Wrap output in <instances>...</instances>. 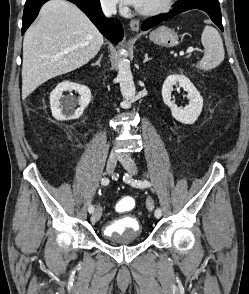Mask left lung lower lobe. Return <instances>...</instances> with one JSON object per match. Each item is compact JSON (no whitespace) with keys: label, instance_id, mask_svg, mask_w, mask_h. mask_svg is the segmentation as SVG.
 Masks as SVG:
<instances>
[{"label":"left lung lower lobe","instance_id":"0a47b994","mask_svg":"<svg viewBox=\"0 0 249 294\" xmlns=\"http://www.w3.org/2000/svg\"><path fill=\"white\" fill-rule=\"evenodd\" d=\"M191 9H200L205 11L211 17L212 21L221 29V31H223L221 11L218 0H179L176 3V7L167 14L147 19L143 23L142 30H148L149 28L168 18Z\"/></svg>","mask_w":249,"mask_h":294}]
</instances>
